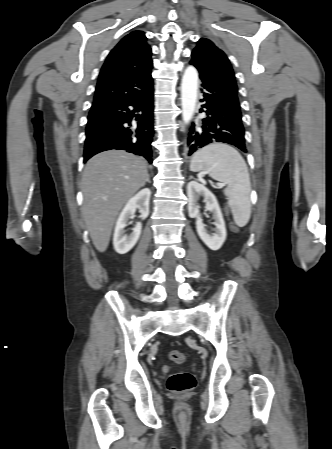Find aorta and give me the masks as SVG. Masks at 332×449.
Segmentation results:
<instances>
[{"mask_svg":"<svg viewBox=\"0 0 332 449\" xmlns=\"http://www.w3.org/2000/svg\"><path fill=\"white\" fill-rule=\"evenodd\" d=\"M198 91V73L195 67L188 66L183 74L181 83L182 118L188 124L194 114Z\"/></svg>","mask_w":332,"mask_h":449,"instance_id":"1","label":"aorta"}]
</instances>
